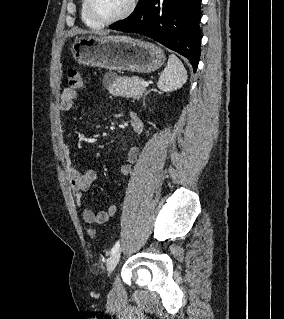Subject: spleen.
<instances>
[{
    "label": "spleen",
    "instance_id": "spleen-1",
    "mask_svg": "<svg viewBox=\"0 0 284 319\" xmlns=\"http://www.w3.org/2000/svg\"><path fill=\"white\" fill-rule=\"evenodd\" d=\"M187 80V72L178 57L171 54L166 68L160 75L157 86L160 90L171 92L181 88Z\"/></svg>",
    "mask_w": 284,
    "mask_h": 319
}]
</instances>
